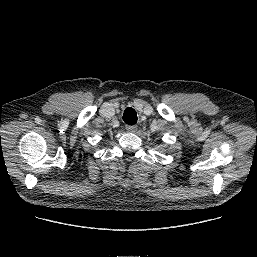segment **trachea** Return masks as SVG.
<instances>
[{"label":"trachea","mask_w":257,"mask_h":257,"mask_svg":"<svg viewBox=\"0 0 257 257\" xmlns=\"http://www.w3.org/2000/svg\"><path fill=\"white\" fill-rule=\"evenodd\" d=\"M123 120L128 125H133L137 123V114L133 108H126L123 114Z\"/></svg>","instance_id":"3493384b"}]
</instances>
